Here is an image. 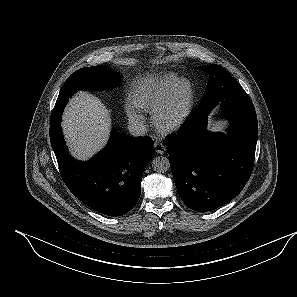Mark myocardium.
I'll return each instance as SVG.
<instances>
[{
  "label": "myocardium",
  "instance_id": "myocardium-1",
  "mask_svg": "<svg viewBox=\"0 0 297 297\" xmlns=\"http://www.w3.org/2000/svg\"><path fill=\"white\" fill-rule=\"evenodd\" d=\"M178 105L176 113L167 118L168 111ZM194 105V88L187 79H179L166 98L152 110V123L163 133H172L181 128L191 115Z\"/></svg>",
  "mask_w": 297,
  "mask_h": 297
}]
</instances>
